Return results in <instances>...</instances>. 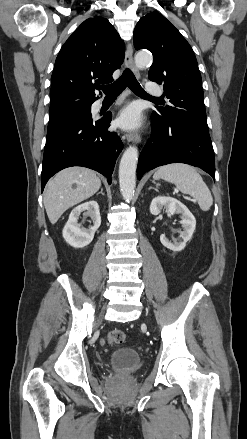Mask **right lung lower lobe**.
Masks as SVG:
<instances>
[{"label": "right lung lower lobe", "instance_id": "obj_1", "mask_svg": "<svg viewBox=\"0 0 247 439\" xmlns=\"http://www.w3.org/2000/svg\"><path fill=\"white\" fill-rule=\"evenodd\" d=\"M110 121L111 114L93 120L90 112L48 128L41 173L42 192L49 178L71 166L87 167L111 177L123 143L115 132L108 131Z\"/></svg>", "mask_w": 247, "mask_h": 439}]
</instances>
